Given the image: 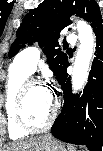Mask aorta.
<instances>
[{
	"label": "aorta",
	"instance_id": "1",
	"mask_svg": "<svg viewBox=\"0 0 103 151\" xmlns=\"http://www.w3.org/2000/svg\"><path fill=\"white\" fill-rule=\"evenodd\" d=\"M77 30L80 45L73 66L72 88L74 92L80 90L87 79L95 47L93 29L88 23L78 21Z\"/></svg>",
	"mask_w": 103,
	"mask_h": 151
}]
</instances>
